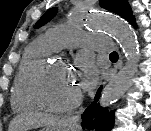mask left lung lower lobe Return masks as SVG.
<instances>
[{
	"instance_id": "left-lung-lower-lobe-1",
	"label": "left lung lower lobe",
	"mask_w": 151,
	"mask_h": 131,
	"mask_svg": "<svg viewBox=\"0 0 151 131\" xmlns=\"http://www.w3.org/2000/svg\"><path fill=\"white\" fill-rule=\"evenodd\" d=\"M132 25L136 26L135 20ZM102 87L96 93L94 101L81 115V126L83 129H95L96 131H109L114 124V111L108 112L107 108H100L97 104Z\"/></svg>"
}]
</instances>
